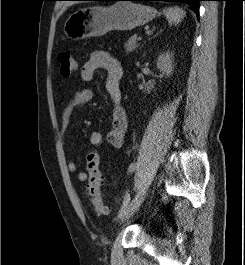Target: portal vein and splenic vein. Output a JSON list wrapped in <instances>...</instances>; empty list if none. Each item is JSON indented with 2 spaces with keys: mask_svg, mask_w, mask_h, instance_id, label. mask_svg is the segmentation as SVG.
Wrapping results in <instances>:
<instances>
[{
  "mask_svg": "<svg viewBox=\"0 0 245 265\" xmlns=\"http://www.w3.org/2000/svg\"><path fill=\"white\" fill-rule=\"evenodd\" d=\"M137 40H138V41H141V40H142V37H141V36H139V37L137 38Z\"/></svg>",
  "mask_w": 245,
  "mask_h": 265,
  "instance_id": "1",
  "label": "portal vein and splenic vein"
}]
</instances>
